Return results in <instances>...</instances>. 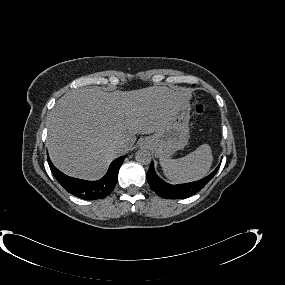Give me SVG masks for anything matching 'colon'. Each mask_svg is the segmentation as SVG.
Here are the masks:
<instances>
[{
  "mask_svg": "<svg viewBox=\"0 0 285 285\" xmlns=\"http://www.w3.org/2000/svg\"><path fill=\"white\" fill-rule=\"evenodd\" d=\"M196 112H197L198 114H202V113L204 112V107H203V105H201V104L197 105V106H196Z\"/></svg>",
  "mask_w": 285,
  "mask_h": 285,
  "instance_id": "colon-1",
  "label": "colon"
}]
</instances>
